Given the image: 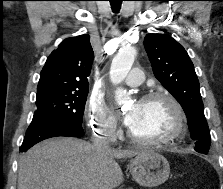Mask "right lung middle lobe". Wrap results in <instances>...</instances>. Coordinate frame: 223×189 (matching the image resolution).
Masks as SVG:
<instances>
[{
	"label": "right lung middle lobe",
	"instance_id": "1",
	"mask_svg": "<svg viewBox=\"0 0 223 189\" xmlns=\"http://www.w3.org/2000/svg\"><path fill=\"white\" fill-rule=\"evenodd\" d=\"M88 89L46 91L37 93L34 117L55 119L82 128Z\"/></svg>",
	"mask_w": 223,
	"mask_h": 189
}]
</instances>
